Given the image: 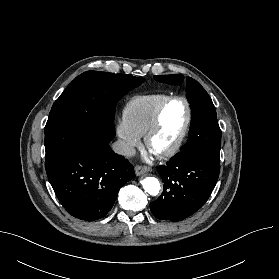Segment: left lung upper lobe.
Masks as SVG:
<instances>
[{
  "label": "left lung upper lobe",
  "instance_id": "5c2ea615",
  "mask_svg": "<svg viewBox=\"0 0 279 279\" xmlns=\"http://www.w3.org/2000/svg\"><path fill=\"white\" fill-rule=\"evenodd\" d=\"M154 79L168 84L180 85L181 74L156 75ZM186 96L191 107V125L188 142L181 151H194L220 161L221 130L213 102L196 80L186 78Z\"/></svg>",
  "mask_w": 279,
  "mask_h": 279
}]
</instances>
